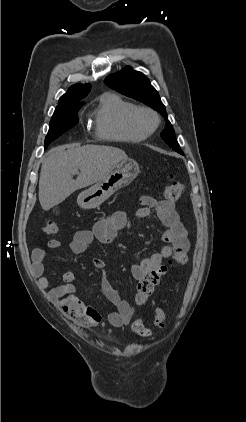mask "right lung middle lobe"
<instances>
[{
	"mask_svg": "<svg viewBox=\"0 0 246 422\" xmlns=\"http://www.w3.org/2000/svg\"><path fill=\"white\" fill-rule=\"evenodd\" d=\"M84 104L56 107L50 121L48 134L45 138V149L63 133L78 123V111Z\"/></svg>",
	"mask_w": 246,
	"mask_h": 422,
	"instance_id": "1",
	"label": "right lung middle lobe"
}]
</instances>
